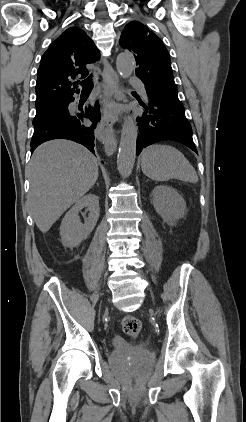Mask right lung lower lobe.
I'll return each mask as SVG.
<instances>
[{
	"label": "right lung lower lobe",
	"mask_w": 246,
	"mask_h": 422,
	"mask_svg": "<svg viewBox=\"0 0 246 422\" xmlns=\"http://www.w3.org/2000/svg\"><path fill=\"white\" fill-rule=\"evenodd\" d=\"M74 101L71 98L63 102L66 111L60 115L49 117L33 123L34 134L31 140V153L43 142L52 139H69L78 142L94 152V129L100 120V110L98 103L94 107H87L79 113H70L68 105ZM92 121L91 126L83 124V119Z\"/></svg>",
	"instance_id": "obj_1"
}]
</instances>
